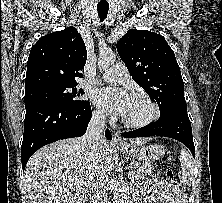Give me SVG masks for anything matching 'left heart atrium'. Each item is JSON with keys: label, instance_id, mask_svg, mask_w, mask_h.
<instances>
[{"label": "left heart atrium", "instance_id": "left-heart-atrium-1", "mask_svg": "<svg viewBox=\"0 0 222 203\" xmlns=\"http://www.w3.org/2000/svg\"><path fill=\"white\" fill-rule=\"evenodd\" d=\"M130 97L125 90L114 87H103L93 94L94 101L99 107L120 116L125 113Z\"/></svg>", "mask_w": 222, "mask_h": 203}]
</instances>
